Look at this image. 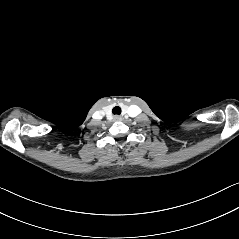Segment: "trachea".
<instances>
[{
    "label": "trachea",
    "instance_id": "3493384b",
    "mask_svg": "<svg viewBox=\"0 0 239 239\" xmlns=\"http://www.w3.org/2000/svg\"><path fill=\"white\" fill-rule=\"evenodd\" d=\"M112 113L114 115H120L121 114V108L119 106H115L112 110Z\"/></svg>",
    "mask_w": 239,
    "mask_h": 239
}]
</instances>
